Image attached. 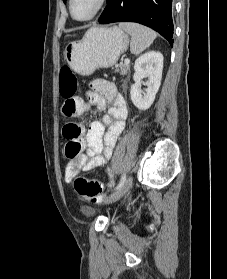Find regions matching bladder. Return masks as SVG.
<instances>
[{
  "label": "bladder",
  "instance_id": "1",
  "mask_svg": "<svg viewBox=\"0 0 227 279\" xmlns=\"http://www.w3.org/2000/svg\"><path fill=\"white\" fill-rule=\"evenodd\" d=\"M83 210H84V212L87 213V214H90V213L93 212V210L90 209V208H84Z\"/></svg>",
  "mask_w": 227,
  "mask_h": 279
}]
</instances>
